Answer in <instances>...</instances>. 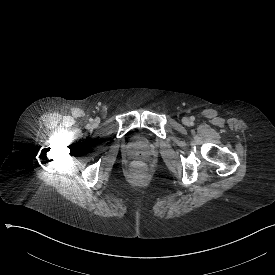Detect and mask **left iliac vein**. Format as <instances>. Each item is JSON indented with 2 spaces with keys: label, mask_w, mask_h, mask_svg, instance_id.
<instances>
[{
  "label": "left iliac vein",
  "mask_w": 275,
  "mask_h": 275,
  "mask_svg": "<svg viewBox=\"0 0 275 275\" xmlns=\"http://www.w3.org/2000/svg\"><path fill=\"white\" fill-rule=\"evenodd\" d=\"M183 123L185 124V125H188L189 124V119L188 118H183Z\"/></svg>",
  "instance_id": "left-iliac-vein-1"
}]
</instances>
